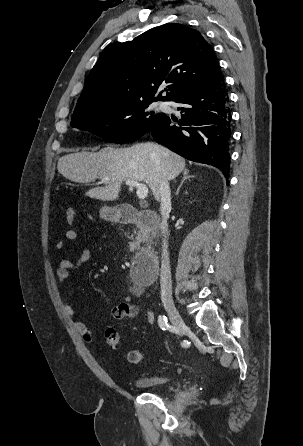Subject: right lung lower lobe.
<instances>
[{
  "mask_svg": "<svg viewBox=\"0 0 303 446\" xmlns=\"http://www.w3.org/2000/svg\"><path fill=\"white\" fill-rule=\"evenodd\" d=\"M173 101L181 105L182 118L164 115L148 133L186 159L217 167L228 179L231 109L223 77L186 91ZM173 121L178 126L171 125Z\"/></svg>",
  "mask_w": 303,
  "mask_h": 446,
  "instance_id": "1",
  "label": "right lung lower lobe"
}]
</instances>
